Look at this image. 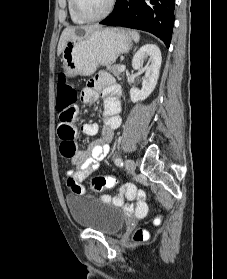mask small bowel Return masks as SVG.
<instances>
[{"instance_id": "obj_1", "label": "small bowel", "mask_w": 227, "mask_h": 279, "mask_svg": "<svg viewBox=\"0 0 227 279\" xmlns=\"http://www.w3.org/2000/svg\"><path fill=\"white\" fill-rule=\"evenodd\" d=\"M120 86L114 78L107 73H99L95 79L90 80L81 91V101L85 104H94L99 96L103 97L104 111L102 116L101 139L87 150H79L74 153L71 161L76 165L74 169L68 170L67 185L70 178L76 179L82 192V182L85 181L97 168L99 163L107 156L114 131L121 124ZM74 126V120L70 122ZM81 129L86 135H95L99 131V125L94 122H85ZM123 191L131 194L138 189L131 184L123 187ZM135 215L140 217L148 211V205L144 200H138L134 205Z\"/></svg>"}]
</instances>
